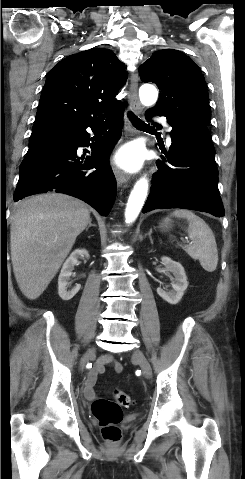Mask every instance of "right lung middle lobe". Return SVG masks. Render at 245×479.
<instances>
[{
	"instance_id": "obj_1",
	"label": "right lung middle lobe",
	"mask_w": 245,
	"mask_h": 479,
	"mask_svg": "<svg viewBox=\"0 0 245 479\" xmlns=\"http://www.w3.org/2000/svg\"><path fill=\"white\" fill-rule=\"evenodd\" d=\"M43 133H45V132H32V134L30 136V140L41 136Z\"/></svg>"
}]
</instances>
